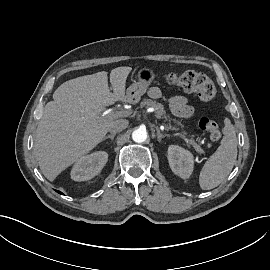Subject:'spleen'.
<instances>
[{
    "instance_id": "1",
    "label": "spleen",
    "mask_w": 270,
    "mask_h": 270,
    "mask_svg": "<svg viewBox=\"0 0 270 270\" xmlns=\"http://www.w3.org/2000/svg\"><path fill=\"white\" fill-rule=\"evenodd\" d=\"M221 145L204 164L199 185L202 190H211L224 182L233 169L237 159V137L234 126L227 122L224 127Z\"/></svg>"
}]
</instances>
